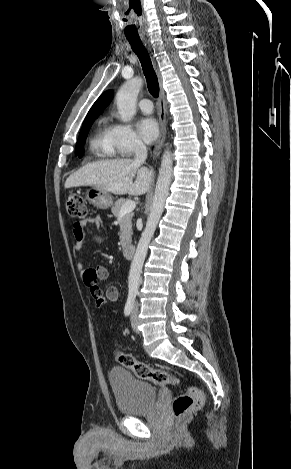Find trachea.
I'll return each mask as SVG.
<instances>
[{
  "instance_id": "obj_1",
  "label": "trachea",
  "mask_w": 291,
  "mask_h": 469,
  "mask_svg": "<svg viewBox=\"0 0 291 469\" xmlns=\"http://www.w3.org/2000/svg\"><path fill=\"white\" fill-rule=\"evenodd\" d=\"M127 40L131 44V47L135 54L138 56L141 66L143 69V73L145 75L147 81V87L150 94L157 98L159 96V83L157 79V75L154 71L150 56L148 51L143 46L140 38L138 37H127Z\"/></svg>"
}]
</instances>
